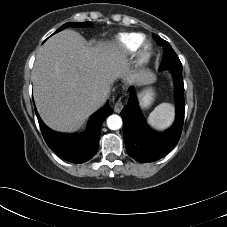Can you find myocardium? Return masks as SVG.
Instances as JSON below:
<instances>
[{
	"mask_svg": "<svg viewBox=\"0 0 227 227\" xmlns=\"http://www.w3.org/2000/svg\"><path fill=\"white\" fill-rule=\"evenodd\" d=\"M153 54V46L150 41H143L138 53L139 64H146L150 61Z\"/></svg>",
	"mask_w": 227,
	"mask_h": 227,
	"instance_id": "1",
	"label": "myocardium"
}]
</instances>
